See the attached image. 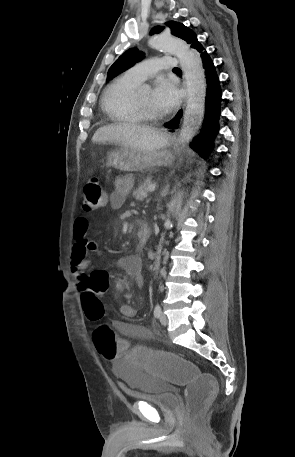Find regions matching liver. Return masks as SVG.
Instances as JSON below:
<instances>
[{"label": "liver", "instance_id": "1", "mask_svg": "<svg viewBox=\"0 0 295 457\" xmlns=\"http://www.w3.org/2000/svg\"><path fill=\"white\" fill-rule=\"evenodd\" d=\"M93 143H114L139 152H151L165 147L168 137L161 130L133 123H117L99 128Z\"/></svg>", "mask_w": 295, "mask_h": 457}]
</instances>
